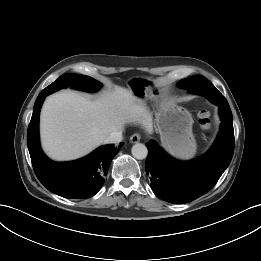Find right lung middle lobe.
Returning <instances> with one entry per match:
<instances>
[{"instance_id":"dd1d6c3e","label":"right lung middle lobe","mask_w":261,"mask_h":261,"mask_svg":"<svg viewBox=\"0 0 261 261\" xmlns=\"http://www.w3.org/2000/svg\"><path fill=\"white\" fill-rule=\"evenodd\" d=\"M56 86H61L62 88L66 86H71L80 90L96 91L100 88L101 83L85 75L64 74L45 89L50 90Z\"/></svg>"}]
</instances>
